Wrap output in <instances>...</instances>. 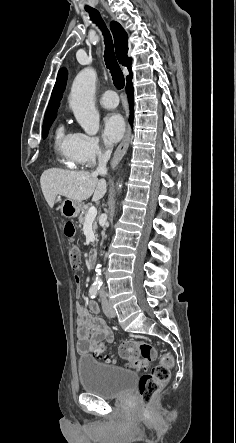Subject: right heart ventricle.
<instances>
[{
    "mask_svg": "<svg viewBox=\"0 0 236 443\" xmlns=\"http://www.w3.org/2000/svg\"><path fill=\"white\" fill-rule=\"evenodd\" d=\"M75 134L66 132L64 126L56 129L53 147L60 163L70 169L80 166V161L75 154Z\"/></svg>",
    "mask_w": 236,
    "mask_h": 443,
    "instance_id": "obj_1",
    "label": "right heart ventricle"
}]
</instances>
